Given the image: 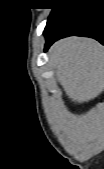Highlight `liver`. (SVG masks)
Segmentation results:
<instances>
[{
    "label": "liver",
    "instance_id": "6515ba94",
    "mask_svg": "<svg viewBox=\"0 0 104 169\" xmlns=\"http://www.w3.org/2000/svg\"><path fill=\"white\" fill-rule=\"evenodd\" d=\"M56 77L74 102H88L103 91L104 50L95 40L69 37L49 50Z\"/></svg>",
    "mask_w": 104,
    "mask_h": 169
}]
</instances>
